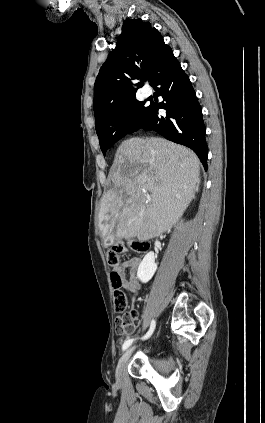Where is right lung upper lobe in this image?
<instances>
[{"instance_id": "obj_1", "label": "right lung upper lobe", "mask_w": 265, "mask_h": 423, "mask_svg": "<svg viewBox=\"0 0 265 423\" xmlns=\"http://www.w3.org/2000/svg\"><path fill=\"white\" fill-rule=\"evenodd\" d=\"M160 33L149 22L126 19L115 49L101 67L94 85L95 124L123 101L135 96L132 80L148 75L152 84L174 59ZM142 83L136 84L139 88Z\"/></svg>"}]
</instances>
